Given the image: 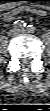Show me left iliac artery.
Masks as SVG:
<instances>
[{
	"label": "left iliac artery",
	"mask_w": 50,
	"mask_h": 111,
	"mask_svg": "<svg viewBox=\"0 0 50 111\" xmlns=\"http://www.w3.org/2000/svg\"><path fill=\"white\" fill-rule=\"evenodd\" d=\"M27 29L29 32H34L36 30L35 26H33V25H28Z\"/></svg>",
	"instance_id": "left-iliac-artery-1"
}]
</instances>
